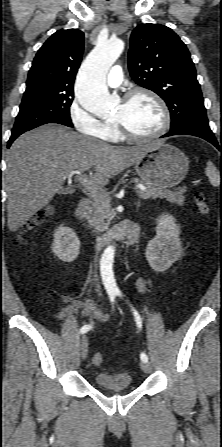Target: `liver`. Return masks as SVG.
Here are the masks:
<instances>
[{
    "mask_svg": "<svg viewBox=\"0 0 222 447\" xmlns=\"http://www.w3.org/2000/svg\"><path fill=\"white\" fill-rule=\"evenodd\" d=\"M147 146L116 147L56 124L24 133L7 152L9 230L15 232L47 206L72 172L94 166L89 178L79 177L106 185L142 157Z\"/></svg>",
    "mask_w": 222,
    "mask_h": 447,
    "instance_id": "6515ba94",
    "label": "liver"
}]
</instances>
